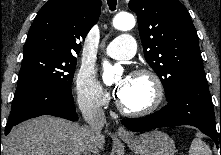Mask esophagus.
<instances>
[{"instance_id":"obj_1","label":"esophagus","mask_w":221,"mask_h":155,"mask_svg":"<svg viewBox=\"0 0 221 155\" xmlns=\"http://www.w3.org/2000/svg\"><path fill=\"white\" fill-rule=\"evenodd\" d=\"M117 133L120 137H123V138H127L131 136V134L122 126L118 128Z\"/></svg>"}]
</instances>
